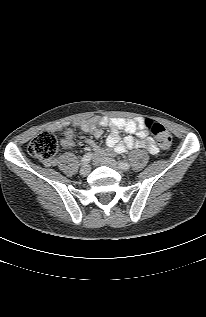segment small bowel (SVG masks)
Listing matches in <instances>:
<instances>
[{"label": "small bowel", "instance_id": "obj_1", "mask_svg": "<svg viewBox=\"0 0 206 317\" xmlns=\"http://www.w3.org/2000/svg\"><path fill=\"white\" fill-rule=\"evenodd\" d=\"M142 118L124 119V118H107L96 117L89 120H83L75 123V125L84 132L91 133L95 138L102 135V128L107 127L110 134L107 137L106 144L109 150L100 148L92 139H87L86 143L93 148L97 155L106 154H121L129 149L145 148L149 153L156 154L159 151L155 141L148 136ZM124 131L128 135L124 138L119 136V133ZM136 136V137H135ZM74 145L71 132H67L61 140V146L65 149L71 148ZM57 161L53 160L47 165H56Z\"/></svg>", "mask_w": 206, "mask_h": 317}]
</instances>
